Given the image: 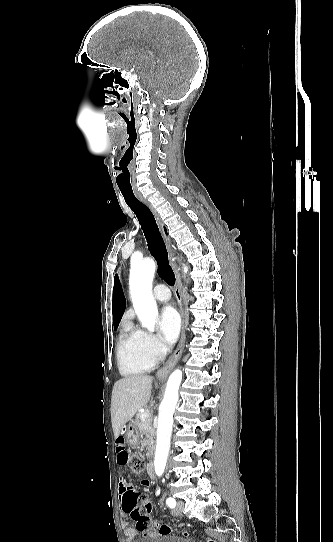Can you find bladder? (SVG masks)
<instances>
[{"mask_svg":"<svg viewBox=\"0 0 333 542\" xmlns=\"http://www.w3.org/2000/svg\"><path fill=\"white\" fill-rule=\"evenodd\" d=\"M145 538L146 540H140L139 542H194L186 537H182L179 535L153 534Z\"/></svg>","mask_w":333,"mask_h":542,"instance_id":"bladder-1","label":"bladder"}]
</instances>
